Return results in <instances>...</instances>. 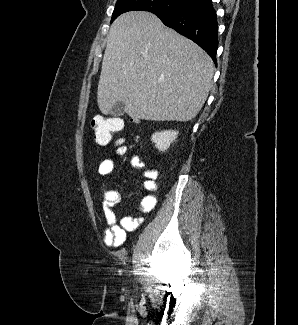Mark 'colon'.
<instances>
[{"label":"colon","instance_id":"1","mask_svg":"<svg viewBox=\"0 0 298 325\" xmlns=\"http://www.w3.org/2000/svg\"><path fill=\"white\" fill-rule=\"evenodd\" d=\"M123 121L115 117H107L103 115H98L94 117L91 123V129L93 132L94 141L97 145L108 144L114 133L119 132L122 128ZM121 153L125 152V149H120ZM135 166L143 168L145 166L144 162L136 158L134 160Z\"/></svg>","mask_w":298,"mask_h":325}]
</instances>
